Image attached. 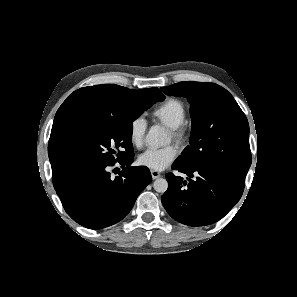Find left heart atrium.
Segmentation results:
<instances>
[{"instance_id": "39dd6f15", "label": "left heart atrium", "mask_w": 297, "mask_h": 297, "mask_svg": "<svg viewBox=\"0 0 297 297\" xmlns=\"http://www.w3.org/2000/svg\"><path fill=\"white\" fill-rule=\"evenodd\" d=\"M178 154L177 148L167 145L158 149H148L139 156V163L149 169L160 171L168 167Z\"/></svg>"}]
</instances>
